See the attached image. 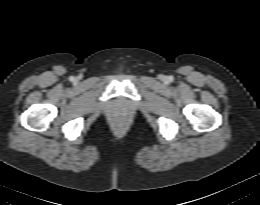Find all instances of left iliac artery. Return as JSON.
I'll return each instance as SVG.
<instances>
[{
    "label": "left iliac artery",
    "mask_w": 260,
    "mask_h": 205,
    "mask_svg": "<svg viewBox=\"0 0 260 205\" xmlns=\"http://www.w3.org/2000/svg\"><path fill=\"white\" fill-rule=\"evenodd\" d=\"M169 79H170V81H173V77L172 76H170Z\"/></svg>",
    "instance_id": "44dca946"
}]
</instances>
